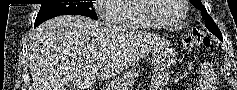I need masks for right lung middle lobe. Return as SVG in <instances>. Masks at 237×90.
<instances>
[{
	"label": "right lung middle lobe",
	"instance_id": "obj_1",
	"mask_svg": "<svg viewBox=\"0 0 237 90\" xmlns=\"http://www.w3.org/2000/svg\"><path fill=\"white\" fill-rule=\"evenodd\" d=\"M60 15H83L98 19L92 2L41 4L34 26Z\"/></svg>",
	"mask_w": 237,
	"mask_h": 90
}]
</instances>
